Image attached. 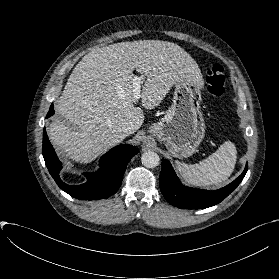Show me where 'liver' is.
I'll return each instance as SVG.
<instances>
[{"mask_svg": "<svg viewBox=\"0 0 279 279\" xmlns=\"http://www.w3.org/2000/svg\"><path fill=\"white\" fill-rule=\"evenodd\" d=\"M143 74L141 104L153 109L181 78L202 85L195 60L179 45L160 40L120 42L92 50L73 69L56 100V119L48 135L61 154L89 163L136 132L144 113L133 97V71Z\"/></svg>", "mask_w": 279, "mask_h": 279, "instance_id": "6515ba94", "label": "liver"}]
</instances>
